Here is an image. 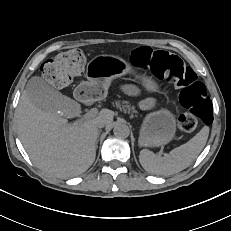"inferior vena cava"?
Masks as SVG:
<instances>
[{
	"instance_id": "1",
	"label": "inferior vena cava",
	"mask_w": 231,
	"mask_h": 231,
	"mask_svg": "<svg viewBox=\"0 0 231 231\" xmlns=\"http://www.w3.org/2000/svg\"><path fill=\"white\" fill-rule=\"evenodd\" d=\"M105 126V124L103 122H99L97 124V128H103Z\"/></svg>"
}]
</instances>
